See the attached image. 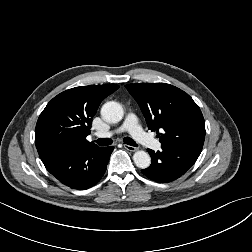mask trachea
Wrapping results in <instances>:
<instances>
[{"instance_id":"1","label":"trachea","mask_w":252,"mask_h":252,"mask_svg":"<svg viewBox=\"0 0 252 252\" xmlns=\"http://www.w3.org/2000/svg\"><path fill=\"white\" fill-rule=\"evenodd\" d=\"M124 143L127 144V145H130V146H137L136 142L132 139V138H129V137H125L123 139ZM112 140L109 139V138H99L96 140V143L100 146H108V145H111L112 144Z\"/></svg>"}]
</instances>
